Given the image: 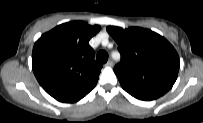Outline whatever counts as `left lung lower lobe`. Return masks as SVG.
Instances as JSON below:
<instances>
[{"mask_svg":"<svg viewBox=\"0 0 203 123\" xmlns=\"http://www.w3.org/2000/svg\"><path fill=\"white\" fill-rule=\"evenodd\" d=\"M122 87L125 91H127L129 94H131L133 97L139 99V100H145V101H150L153 99H156L160 97L161 95L152 93V92H147L144 90H141L139 88H135L126 84H122Z\"/></svg>","mask_w":203,"mask_h":123,"instance_id":"0a47b994","label":"left lung lower lobe"}]
</instances>
